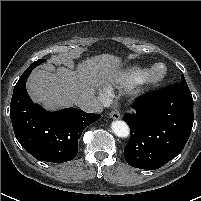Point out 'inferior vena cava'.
Here are the masks:
<instances>
[{
  "label": "inferior vena cava",
  "instance_id": "inferior-vena-cava-1",
  "mask_svg": "<svg viewBox=\"0 0 201 201\" xmlns=\"http://www.w3.org/2000/svg\"><path fill=\"white\" fill-rule=\"evenodd\" d=\"M75 104L82 110L90 113L101 112V102L93 95H81L75 101Z\"/></svg>",
  "mask_w": 201,
  "mask_h": 201
}]
</instances>
